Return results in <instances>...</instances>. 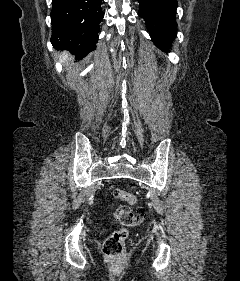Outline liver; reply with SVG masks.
<instances>
[{"mask_svg": "<svg viewBox=\"0 0 240 281\" xmlns=\"http://www.w3.org/2000/svg\"><path fill=\"white\" fill-rule=\"evenodd\" d=\"M60 60L62 62H68V61H71V58L69 57L68 53L64 52L62 53V55L60 56Z\"/></svg>", "mask_w": 240, "mask_h": 281, "instance_id": "obj_1", "label": "liver"}]
</instances>
